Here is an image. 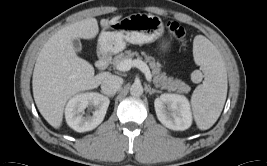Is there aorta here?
<instances>
[{
	"instance_id": "aorta-1",
	"label": "aorta",
	"mask_w": 267,
	"mask_h": 166,
	"mask_svg": "<svg viewBox=\"0 0 267 166\" xmlns=\"http://www.w3.org/2000/svg\"><path fill=\"white\" fill-rule=\"evenodd\" d=\"M130 94L135 97H139L143 94V87L141 84L134 83L130 87Z\"/></svg>"
}]
</instances>
